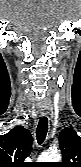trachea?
Masks as SVG:
<instances>
[{
    "instance_id": "trachea-1",
    "label": "trachea",
    "mask_w": 81,
    "mask_h": 167,
    "mask_svg": "<svg viewBox=\"0 0 81 167\" xmlns=\"http://www.w3.org/2000/svg\"><path fill=\"white\" fill-rule=\"evenodd\" d=\"M48 132V119L41 117L37 126L36 137L38 144H42Z\"/></svg>"
}]
</instances>
